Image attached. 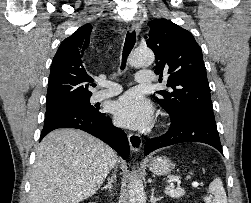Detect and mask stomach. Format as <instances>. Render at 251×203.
I'll list each match as a JSON object with an SVG mask.
<instances>
[{
    "mask_svg": "<svg viewBox=\"0 0 251 203\" xmlns=\"http://www.w3.org/2000/svg\"><path fill=\"white\" fill-rule=\"evenodd\" d=\"M172 161L166 156H158L150 160L149 170L156 175L168 174L173 169Z\"/></svg>",
    "mask_w": 251,
    "mask_h": 203,
    "instance_id": "0dacf381",
    "label": "stomach"
}]
</instances>
